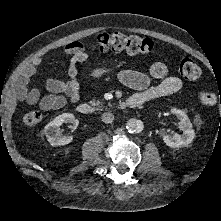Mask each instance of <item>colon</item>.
Segmentation results:
<instances>
[{
    "label": "colon",
    "mask_w": 221,
    "mask_h": 221,
    "mask_svg": "<svg viewBox=\"0 0 221 221\" xmlns=\"http://www.w3.org/2000/svg\"><path fill=\"white\" fill-rule=\"evenodd\" d=\"M95 48L102 53L125 51L130 54H148L153 49V43L138 36L112 33L98 36ZM179 73L185 80L193 81L200 77L201 69L196 61L186 58L179 64ZM198 99L204 106H213L218 100L215 93L207 90L201 91ZM41 118L40 112L30 110L22 114L21 120L25 127L32 128L40 123Z\"/></svg>",
    "instance_id": "1"
}]
</instances>
